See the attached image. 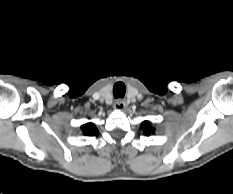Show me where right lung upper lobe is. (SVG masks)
<instances>
[{"instance_id":"1","label":"right lung upper lobe","mask_w":233,"mask_h":194,"mask_svg":"<svg viewBox=\"0 0 233 194\" xmlns=\"http://www.w3.org/2000/svg\"><path fill=\"white\" fill-rule=\"evenodd\" d=\"M81 129L86 136H94L98 133V129L93 123H86L81 126Z\"/></svg>"}]
</instances>
